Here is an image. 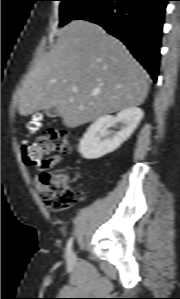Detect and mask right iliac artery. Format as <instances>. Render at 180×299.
Here are the masks:
<instances>
[{
	"instance_id": "82829eb1",
	"label": "right iliac artery",
	"mask_w": 180,
	"mask_h": 299,
	"mask_svg": "<svg viewBox=\"0 0 180 299\" xmlns=\"http://www.w3.org/2000/svg\"><path fill=\"white\" fill-rule=\"evenodd\" d=\"M72 243H73V238H70L66 245V252L68 255L72 252Z\"/></svg>"
}]
</instances>
